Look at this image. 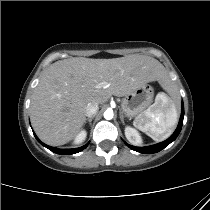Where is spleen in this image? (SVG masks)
<instances>
[{
    "instance_id": "1",
    "label": "spleen",
    "mask_w": 210,
    "mask_h": 210,
    "mask_svg": "<svg viewBox=\"0 0 210 210\" xmlns=\"http://www.w3.org/2000/svg\"><path fill=\"white\" fill-rule=\"evenodd\" d=\"M165 89L173 93V85L167 80ZM174 101L165 93H158L154 104L143 114L136 117L134 126L146 133L155 141L168 138L174 131L178 121Z\"/></svg>"
}]
</instances>
